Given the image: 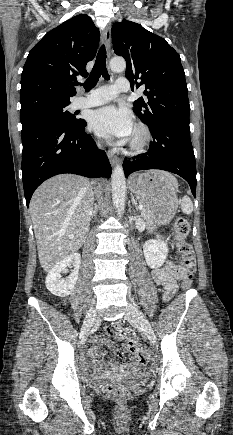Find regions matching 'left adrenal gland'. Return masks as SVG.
<instances>
[{"label": "left adrenal gland", "instance_id": "obj_1", "mask_svg": "<svg viewBox=\"0 0 233 435\" xmlns=\"http://www.w3.org/2000/svg\"><path fill=\"white\" fill-rule=\"evenodd\" d=\"M131 201H132V205L135 207L136 211H138V210H139V208H138V203H137V201L134 199V196H133V195H131Z\"/></svg>", "mask_w": 233, "mask_h": 435}]
</instances>
